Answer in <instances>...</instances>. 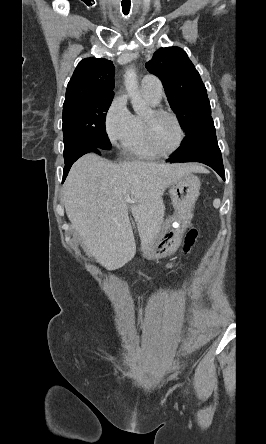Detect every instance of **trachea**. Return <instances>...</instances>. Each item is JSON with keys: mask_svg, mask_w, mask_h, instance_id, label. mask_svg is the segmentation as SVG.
Returning <instances> with one entry per match:
<instances>
[{"mask_svg": "<svg viewBox=\"0 0 266 444\" xmlns=\"http://www.w3.org/2000/svg\"><path fill=\"white\" fill-rule=\"evenodd\" d=\"M122 8H123V13H124L125 15H128V14H129V11H130V2H128V3H122Z\"/></svg>", "mask_w": 266, "mask_h": 444, "instance_id": "3493384b", "label": "trachea"}]
</instances>
